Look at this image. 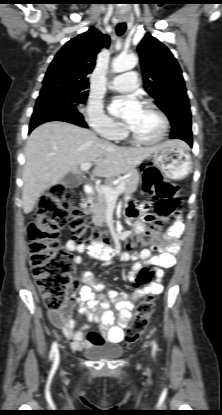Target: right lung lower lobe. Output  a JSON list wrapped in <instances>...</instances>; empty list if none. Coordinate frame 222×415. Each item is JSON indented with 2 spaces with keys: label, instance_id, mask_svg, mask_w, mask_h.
Here are the masks:
<instances>
[{
  "label": "right lung lower lobe",
  "instance_id": "right-lung-lower-lobe-1",
  "mask_svg": "<svg viewBox=\"0 0 222 415\" xmlns=\"http://www.w3.org/2000/svg\"><path fill=\"white\" fill-rule=\"evenodd\" d=\"M49 121H65L88 127L75 106L56 88L42 89L31 118L29 132Z\"/></svg>",
  "mask_w": 222,
  "mask_h": 415
}]
</instances>
